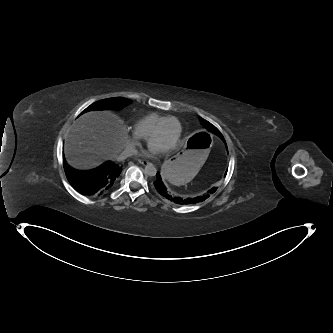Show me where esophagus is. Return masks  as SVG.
<instances>
[{"label":"esophagus","mask_w":333,"mask_h":333,"mask_svg":"<svg viewBox=\"0 0 333 333\" xmlns=\"http://www.w3.org/2000/svg\"><path fill=\"white\" fill-rule=\"evenodd\" d=\"M138 162L144 166L150 164V162L146 159H138Z\"/></svg>","instance_id":"esophagus-1"}]
</instances>
